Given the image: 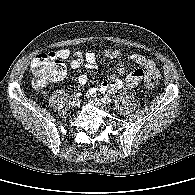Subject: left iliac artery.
Wrapping results in <instances>:
<instances>
[{
	"instance_id": "left-iliac-artery-1",
	"label": "left iliac artery",
	"mask_w": 195,
	"mask_h": 195,
	"mask_svg": "<svg viewBox=\"0 0 195 195\" xmlns=\"http://www.w3.org/2000/svg\"><path fill=\"white\" fill-rule=\"evenodd\" d=\"M104 100H105L106 102H111V99H110L109 97H105Z\"/></svg>"
}]
</instances>
